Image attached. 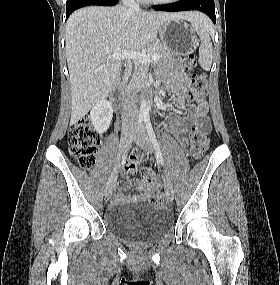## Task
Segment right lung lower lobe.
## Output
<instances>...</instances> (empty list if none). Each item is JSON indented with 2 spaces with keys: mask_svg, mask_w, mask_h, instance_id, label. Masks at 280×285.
I'll use <instances>...</instances> for the list:
<instances>
[{
  "mask_svg": "<svg viewBox=\"0 0 280 285\" xmlns=\"http://www.w3.org/2000/svg\"><path fill=\"white\" fill-rule=\"evenodd\" d=\"M119 0H67L66 2V19L70 14L78 8L90 5L99 6H112L115 5Z\"/></svg>",
  "mask_w": 280,
  "mask_h": 285,
  "instance_id": "right-lung-lower-lobe-1",
  "label": "right lung lower lobe"
}]
</instances>
